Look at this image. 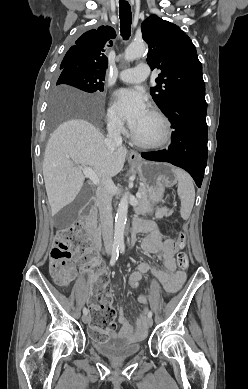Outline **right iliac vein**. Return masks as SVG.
Returning <instances> with one entry per match:
<instances>
[{
    "mask_svg": "<svg viewBox=\"0 0 248 389\" xmlns=\"http://www.w3.org/2000/svg\"><path fill=\"white\" fill-rule=\"evenodd\" d=\"M82 321L87 324L90 321V317L86 314H83Z\"/></svg>",
    "mask_w": 248,
    "mask_h": 389,
    "instance_id": "63e3f726",
    "label": "right iliac vein"
}]
</instances>
